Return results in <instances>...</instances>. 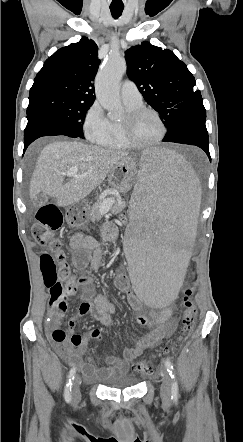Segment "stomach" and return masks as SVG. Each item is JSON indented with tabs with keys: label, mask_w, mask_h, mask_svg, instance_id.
Segmentation results:
<instances>
[{
	"label": "stomach",
	"mask_w": 243,
	"mask_h": 442,
	"mask_svg": "<svg viewBox=\"0 0 243 442\" xmlns=\"http://www.w3.org/2000/svg\"><path fill=\"white\" fill-rule=\"evenodd\" d=\"M135 167L136 163L131 158L118 162L108 174L109 185L121 193L128 192L131 189L134 175H137ZM65 218L70 226L81 227L87 222L88 209L82 203L77 202L67 209Z\"/></svg>",
	"instance_id": "stomach-1"
}]
</instances>
